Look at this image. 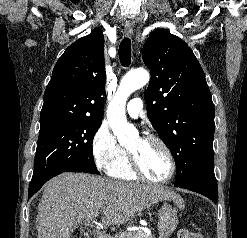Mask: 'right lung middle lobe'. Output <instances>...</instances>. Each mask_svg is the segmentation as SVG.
Wrapping results in <instances>:
<instances>
[{"mask_svg": "<svg viewBox=\"0 0 247 238\" xmlns=\"http://www.w3.org/2000/svg\"><path fill=\"white\" fill-rule=\"evenodd\" d=\"M101 120H80L40 126L30 185L55 171L98 174L92 142Z\"/></svg>", "mask_w": 247, "mask_h": 238, "instance_id": "right-lung-middle-lobe-1", "label": "right lung middle lobe"}]
</instances>
